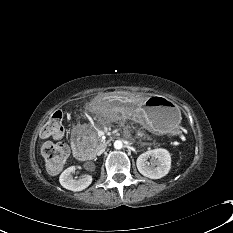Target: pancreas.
I'll list each match as a JSON object with an SVG mask.
<instances>
[{"instance_id": "cf45deb5", "label": "pancreas", "mask_w": 233, "mask_h": 233, "mask_svg": "<svg viewBox=\"0 0 233 233\" xmlns=\"http://www.w3.org/2000/svg\"><path fill=\"white\" fill-rule=\"evenodd\" d=\"M140 136H142L143 134L142 133H139ZM92 139H93V145L96 147L98 144V138L96 136V134H92Z\"/></svg>"}]
</instances>
